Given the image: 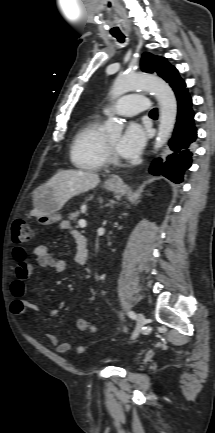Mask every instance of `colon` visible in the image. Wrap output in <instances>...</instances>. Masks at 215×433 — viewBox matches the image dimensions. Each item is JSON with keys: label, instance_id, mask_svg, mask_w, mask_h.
<instances>
[{"label": "colon", "instance_id": "1", "mask_svg": "<svg viewBox=\"0 0 215 433\" xmlns=\"http://www.w3.org/2000/svg\"><path fill=\"white\" fill-rule=\"evenodd\" d=\"M13 241L18 246H23L33 240L34 232L31 226L25 221H17L13 226ZM22 249V248H21ZM76 326L80 331H95V325L85 318H78Z\"/></svg>", "mask_w": 215, "mask_h": 433}]
</instances>
